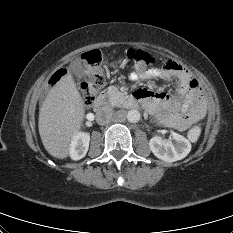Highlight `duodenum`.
Returning <instances> with one entry per match:
<instances>
[{
    "mask_svg": "<svg viewBox=\"0 0 233 233\" xmlns=\"http://www.w3.org/2000/svg\"><path fill=\"white\" fill-rule=\"evenodd\" d=\"M107 100H108V96L106 94H101L100 96L96 98L94 102V107L96 109H100L107 103ZM137 104H138V97L136 95L130 96L126 98L124 101V105L129 108H135Z\"/></svg>",
    "mask_w": 233,
    "mask_h": 233,
    "instance_id": "1",
    "label": "duodenum"
}]
</instances>
